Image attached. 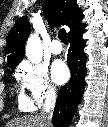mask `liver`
Here are the masks:
<instances>
[{"instance_id":"1","label":"liver","mask_w":108,"mask_h":127,"mask_svg":"<svg viewBox=\"0 0 108 127\" xmlns=\"http://www.w3.org/2000/svg\"><path fill=\"white\" fill-rule=\"evenodd\" d=\"M42 114L23 116L10 120L6 127H46Z\"/></svg>"}]
</instances>
